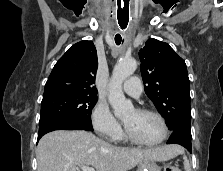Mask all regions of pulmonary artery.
Returning <instances> with one entry per match:
<instances>
[{
	"mask_svg": "<svg viewBox=\"0 0 223 171\" xmlns=\"http://www.w3.org/2000/svg\"><path fill=\"white\" fill-rule=\"evenodd\" d=\"M124 92L134 98H139L142 94V84L138 77L133 76L126 80L122 86Z\"/></svg>",
	"mask_w": 223,
	"mask_h": 171,
	"instance_id": "1",
	"label": "pulmonary artery"
}]
</instances>
